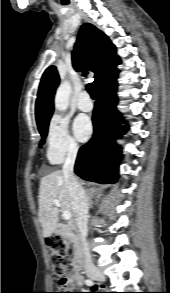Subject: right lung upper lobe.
<instances>
[{"instance_id": "1", "label": "right lung upper lobe", "mask_w": 170, "mask_h": 293, "mask_svg": "<svg viewBox=\"0 0 170 293\" xmlns=\"http://www.w3.org/2000/svg\"><path fill=\"white\" fill-rule=\"evenodd\" d=\"M116 47L109 38L95 26L85 23L79 32L73 51V66L76 70L83 62L95 73L96 87L108 78L118 74L116 66L121 60L115 55ZM55 66L48 67L41 79L36 100V121L38 129L49 124L53 112V98L59 84Z\"/></svg>"}]
</instances>
